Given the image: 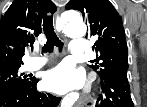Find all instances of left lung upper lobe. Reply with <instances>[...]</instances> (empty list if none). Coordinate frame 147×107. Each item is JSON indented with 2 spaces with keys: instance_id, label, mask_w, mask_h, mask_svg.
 Wrapping results in <instances>:
<instances>
[{
  "instance_id": "5c2ea615",
  "label": "left lung upper lobe",
  "mask_w": 147,
  "mask_h": 107,
  "mask_svg": "<svg viewBox=\"0 0 147 107\" xmlns=\"http://www.w3.org/2000/svg\"><path fill=\"white\" fill-rule=\"evenodd\" d=\"M66 9L82 13L88 22L86 38L94 39L100 54L90 66L104 77L116 70H128L127 43L122 19L108 0H70Z\"/></svg>"
}]
</instances>
